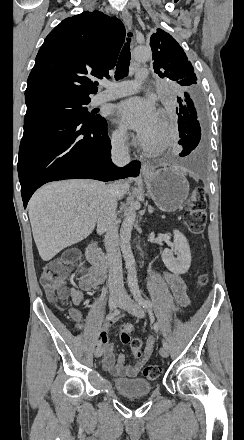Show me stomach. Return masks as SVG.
Wrapping results in <instances>:
<instances>
[{
  "instance_id": "1",
  "label": "stomach",
  "mask_w": 244,
  "mask_h": 440,
  "mask_svg": "<svg viewBox=\"0 0 244 440\" xmlns=\"http://www.w3.org/2000/svg\"><path fill=\"white\" fill-rule=\"evenodd\" d=\"M149 196L162 212H175L181 208L189 194V182L183 172L163 166L159 170L151 168L143 174Z\"/></svg>"
}]
</instances>
